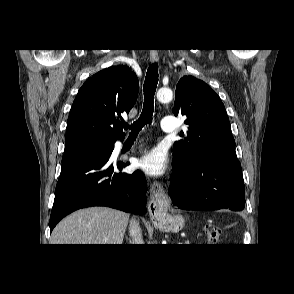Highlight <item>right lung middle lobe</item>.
I'll return each instance as SVG.
<instances>
[{
  "mask_svg": "<svg viewBox=\"0 0 294 294\" xmlns=\"http://www.w3.org/2000/svg\"><path fill=\"white\" fill-rule=\"evenodd\" d=\"M114 147V142H104L97 140H79L66 144L64 155L68 156L74 153L86 152V151H108Z\"/></svg>",
  "mask_w": 294,
  "mask_h": 294,
  "instance_id": "dd1d6c3e",
  "label": "right lung middle lobe"
}]
</instances>
